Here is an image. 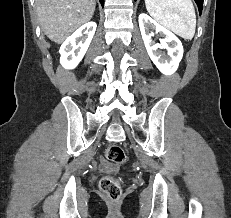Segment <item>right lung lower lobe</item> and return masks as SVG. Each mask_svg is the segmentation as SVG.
I'll use <instances>...</instances> for the list:
<instances>
[{
	"instance_id": "98d812e1",
	"label": "right lung lower lobe",
	"mask_w": 231,
	"mask_h": 218,
	"mask_svg": "<svg viewBox=\"0 0 231 218\" xmlns=\"http://www.w3.org/2000/svg\"><path fill=\"white\" fill-rule=\"evenodd\" d=\"M99 1H100L101 5H102V7H103V5H104V0H99Z\"/></svg>"
}]
</instances>
